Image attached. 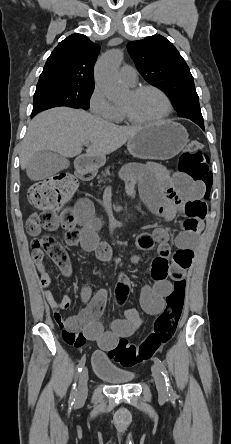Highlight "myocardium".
<instances>
[{"instance_id": "myocardium-1", "label": "myocardium", "mask_w": 231, "mask_h": 444, "mask_svg": "<svg viewBox=\"0 0 231 444\" xmlns=\"http://www.w3.org/2000/svg\"><path fill=\"white\" fill-rule=\"evenodd\" d=\"M148 90L158 93L164 99V101L166 103L165 113L162 116H160L159 118L154 119V120H137L130 114V112L127 109L121 107L122 114H123L124 118L129 123L135 124V125H155V124H159V123L166 121L171 116V114L173 112L172 101H171L170 97L167 95V93L164 90H162L161 88L154 86V85H141V86H137V87L132 88L130 92L133 95H138V94H140L144 91H148Z\"/></svg>"}]
</instances>
